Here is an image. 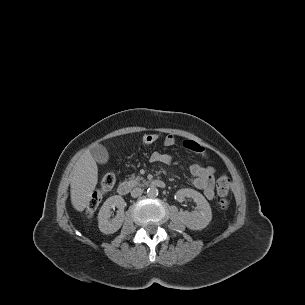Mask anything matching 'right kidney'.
<instances>
[{
  "instance_id": "1",
  "label": "right kidney",
  "mask_w": 305,
  "mask_h": 305,
  "mask_svg": "<svg viewBox=\"0 0 305 305\" xmlns=\"http://www.w3.org/2000/svg\"><path fill=\"white\" fill-rule=\"evenodd\" d=\"M125 206L124 199L119 195L109 197L104 202L98 214V227L102 233L113 234L121 228L124 221ZM114 207L118 208V212L113 219H110V210Z\"/></svg>"
}]
</instances>
